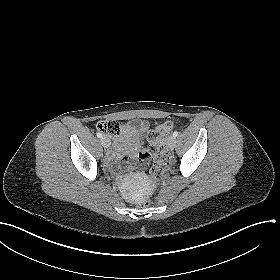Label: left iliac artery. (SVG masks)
I'll return each mask as SVG.
<instances>
[{
  "instance_id": "1",
  "label": "left iliac artery",
  "mask_w": 280,
  "mask_h": 280,
  "mask_svg": "<svg viewBox=\"0 0 280 280\" xmlns=\"http://www.w3.org/2000/svg\"><path fill=\"white\" fill-rule=\"evenodd\" d=\"M178 136V132L177 131H175L174 133H173V137H177Z\"/></svg>"
}]
</instances>
